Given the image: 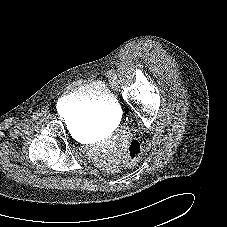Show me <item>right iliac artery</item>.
<instances>
[{
	"label": "right iliac artery",
	"mask_w": 227,
	"mask_h": 227,
	"mask_svg": "<svg viewBox=\"0 0 227 227\" xmlns=\"http://www.w3.org/2000/svg\"><path fill=\"white\" fill-rule=\"evenodd\" d=\"M38 116H39L38 114L32 115L33 119H36V120L38 119Z\"/></svg>",
	"instance_id": "1"
}]
</instances>
